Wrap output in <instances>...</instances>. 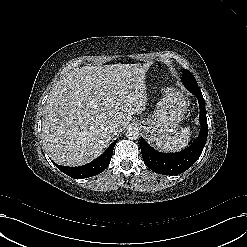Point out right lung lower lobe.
I'll return each mask as SVG.
<instances>
[{"mask_svg":"<svg viewBox=\"0 0 247 247\" xmlns=\"http://www.w3.org/2000/svg\"><path fill=\"white\" fill-rule=\"evenodd\" d=\"M117 141H114L107 150L92 162L78 167H66L55 164L57 168L68 176L76 179L92 177L103 172L110 163L112 153Z\"/></svg>","mask_w":247,"mask_h":247,"instance_id":"obj_1","label":"right lung lower lobe"}]
</instances>
